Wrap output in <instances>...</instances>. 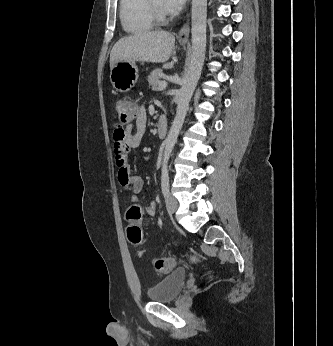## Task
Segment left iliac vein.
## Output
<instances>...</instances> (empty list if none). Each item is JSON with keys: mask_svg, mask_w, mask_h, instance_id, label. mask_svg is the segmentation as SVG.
<instances>
[{"mask_svg": "<svg viewBox=\"0 0 333 346\" xmlns=\"http://www.w3.org/2000/svg\"><path fill=\"white\" fill-rule=\"evenodd\" d=\"M165 201H166V209L168 213L173 214L178 208V202L176 198L168 193L166 195Z\"/></svg>", "mask_w": 333, "mask_h": 346, "instance_id": "left-iliac-vein-1", "label": "left iliac vein"}]
</instances>
